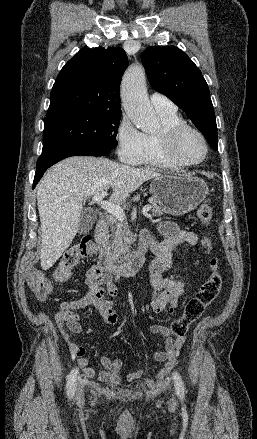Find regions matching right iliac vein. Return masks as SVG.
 Returning a JSON list of instances; mask_svg holds the SVG:
<instances>
[{"label":"right iliac vein","mask_w":257,"mask_h":439,"mask_svg":"<svg viewBox=\"0 0 257 439\" xmlns=\"http://www.w3.org/2000/svg\"><path fill=\"white\" fill-rule=\"evenodd\" d=\"M77 398H78L79 400L83 399V386H82V385H80L79 388H78V391H77Z\"/></svg>","instance_id":"63e3f726"}]
</instances>
